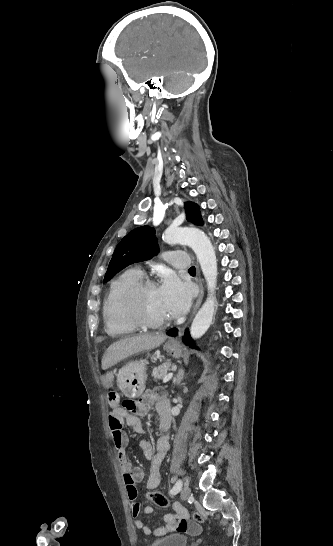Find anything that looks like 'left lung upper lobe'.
Listing matches in <instances>:
<instances>
[{
    "instance_id": "5c2ea615",
    "label": "left lung upper lobe",
    "mask_w": 333,
    "mask_h": 546,
    "mask_svg": "<svg viewBox=\"0 0 333 546\" xmlns=\"http://www.w3.org/2000/svg\"><path fill=\"white\" fill-rule=\"evenodd\" d=\"M187 220L195 225H202L199 207L192 203H185ZM159 251L154 228L142 226L127 234L112 255L104 282H108L116 273L135 262L151 259Z\"/></svg>"
}]
</instances>
